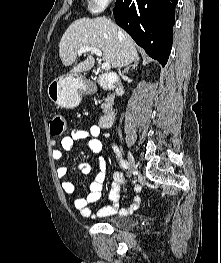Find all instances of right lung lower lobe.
<instances>
[{
    "label": "right lung lower lobe",
    "mask_w": 221,
    "mask_h": 263,
    "mask_svg": "<svg viewBox=\"0 0 221 263\" xmlns=\"http://www.w3.org/2000/svg\"><path fill=\"white\" fill-rule=\"evenodd\" d=\"M177 0H116L114 17L146 53L162 66L172 48Z\"/></svg>",
    "instance_id": "obj_1"
}]
</instances>
